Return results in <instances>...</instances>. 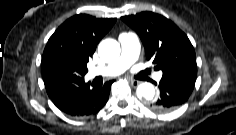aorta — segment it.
I'll use <instances>...</instances> for the list:
<instances>
[{
    "mask_svg": "<svg viewBox=\"0 0 236 135\" xmlns=\"http://www.w3.org/2000/svg\"><path fill=\"white\" fill-rule=\"evenodd\" d=\"M120 52V45L114 39H105L98 46L100 58L108 63L116 61L120 56ZM136 93L140 99L152 100L155 95V89L151 83L144 82L137 87Z\"/></svg>",
    "mask_w": 236,
    "mask_h": 135,
    "instance_id": "aorta-1",
    "label": "aorta"
}]
</instances>
